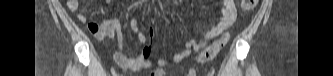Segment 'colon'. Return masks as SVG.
Segmentation results:
<instances>
[{
    "label": "colon",
    "mask_w": 333,
    "mask_h": 76,
    "mask_svg": "<svg viewBox=\"0 0 333 76\" xmlns=\"http://www.w3.org/2000/svg\"><path fill=\"white\" fill-rule=\"evenodd\" d=\"M257 0H242L241 8L251 10L256 6ZM230 35L225 33L221 38L216 40L210 47L206 48L197 58L199 62H208L213 60L219 51L228 43Z\"/></svg>",
    "instance_id": "obj_1"
}]
</instances>
